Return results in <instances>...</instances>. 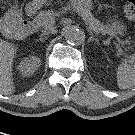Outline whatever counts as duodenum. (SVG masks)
<instances>
[{
  "label": "duodenum",
  "instance_id": "1",
  "mask_svg": "<svg viewBox=\"0 0 135 135\" xmlns=\"http://www.w3.org/2000/svg\"><path fill=\"white\" fill-rule=\"evenodd\" d=\"M33 22L31 20H24L19 23L13 21H5L3 23V32L11 38H22L31 32L33 29Z\"/></svg>",
  "mask_w": 135,
  "mask_h": 135
}]
</instances>
